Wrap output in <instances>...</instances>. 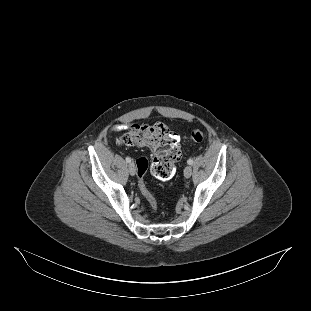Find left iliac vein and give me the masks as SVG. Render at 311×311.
<instances>
[{
	"label": "left iliac vein",
	"mask_w": 311,
	"mask_h": 311,
	"mask_svg": "<svg viewBox=\"0 0 311 311\" xmlns=\"http://www.w3.org/2000/svg\"><path fill=\"white\" fill-rule=\"evenodd\" d=\"M191 175H192V167H191V166H187V167L184 169V176H185L186 178H189Z\"/></svg>",
	"instance_id": "1"
}]
</instances>
